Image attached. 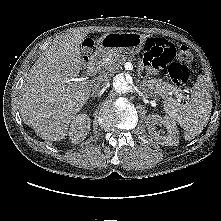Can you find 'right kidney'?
<instances>
[{
  "instance_id": "1",
  "label": "right kidney",
  "mask_w": 221,
  "mask_h": 221,
  "mask_svg": "<svg viewBox=\"0 0 221 221\" xmlns=\"http://www.w3.org/2000/svg\"><path fill=\"white\" fill-rule=\"evenodd\" d=\"M91 119L86 114H79L72 121L69 129V137L74 144L83 141L90 131Z\"/></svg>"
}]
</instances>
